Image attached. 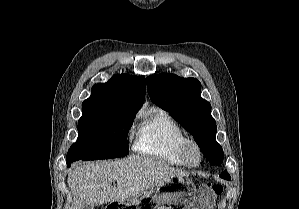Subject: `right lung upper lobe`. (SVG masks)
<instances>
[{
  "label": "right lung upper lobe",
  "mask_w": 299,
  "mask_h": 209,
  "mask_svg": "<svg viewBox=\"0 0 299 209\" xmlns=\"http://www.w3.org/2000/svg\"><path fill=\"white\" fill-rule=\"evenodd\" d=\"M145 78L127 74L114 75L107 83L92 87L82 110L138 112L144 102Z\"/></svg>",
  "instance_id": "obj_1"
}]
</instances>
